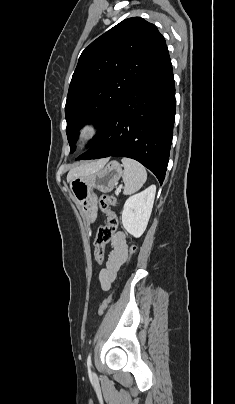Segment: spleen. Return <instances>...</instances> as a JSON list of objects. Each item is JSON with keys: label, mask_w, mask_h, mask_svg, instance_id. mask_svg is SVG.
I'll return each instance as SVG.
<instances>
[{"label": "spleen", "mask_w": 235, "mask_h": 404, "mask_svg": "<svg viewBox=\"0 0 235 404\" xmlns=\"http://www.w3.org/2000/svg\"><path fill=\"white\" fill-rule=\"evenodd\" d=\"M122 164L124 166L123 182L125 184L123 193L130 195L143 186L147 179V172L142 164L130 158H123Z\"/></svg>", "instance_id": "1"}]
</instances>
